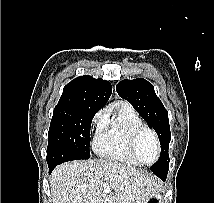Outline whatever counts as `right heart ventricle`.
Instances as JSON below:
<instances>
[{"instance_id":"right-heart-ventricle-1","label":"right heart ventricle","mask_w":214,"mask_h":203,"mask_svg":"<svg viewBox=\"0 0 214 203\" xmlns=\"http://www.w3.org/2000/svg\"><path fill=\"white\" fill-rule=\"evenodd\" d=\"M143 125L131 105L125 102L117 103L113 116L105 115L103 125L98 128L93 143L95 152L112 161L140 166L129 150V139L132 132Z\"/></svg>"}]
</instances>
